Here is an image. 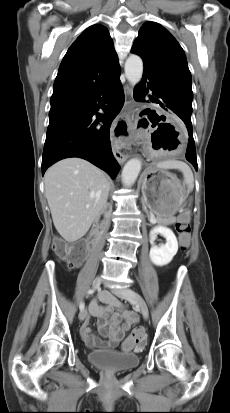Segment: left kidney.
Masks as SVG:
<instances>
[{"label":"left kidney","mask_w":230,"mask_h":413,"mask_svg":"<svg viewBox=\"0 0 230 413\" xmlns=\"http://www.w3.org/2000/svg\"><path fill=\"white\" fill-rule=\"evenodd\" d=\"M161 234L166 238V244L160 247L154 245L156 235ZM150 260L156 266H164L169 264L178 251V242L173 231L164 226H157L150 232Z\"/></svg>","instance_id":"5707ae66"}]
</instances>
